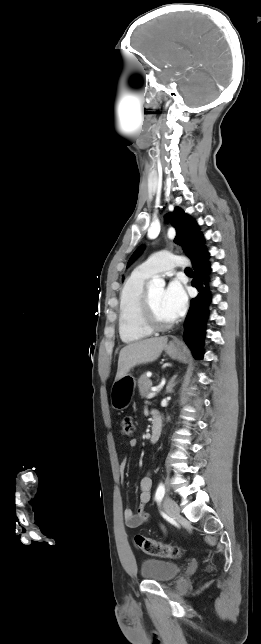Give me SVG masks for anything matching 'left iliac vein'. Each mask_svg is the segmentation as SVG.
<instances>
[{
  "instance_id": "left-iliac-vein-1",
  "label": "left iliac vein",
  "mask_w": 261,
  "mask_h": 644,
  "mask_svg": "<svg viewBox=\"0 0 261 644\" xmlns=\"http://www.w3.org/2000/svg\"><path fill=\"white\" fill-rule=\"evenodd\" d=\"M163 507L165 511L171 516V517H178L180 513V509L178 504L171 499L170 497H165L163 501Z\"/></svg>"
}]
</instances>
